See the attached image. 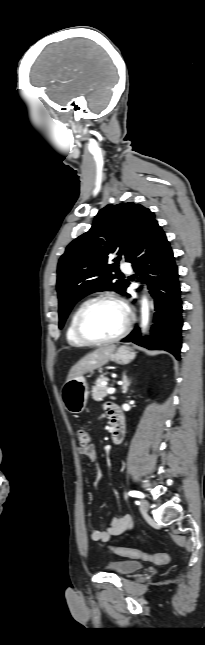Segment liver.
<instances>
[{
	"instance_id": "obj_1",
	"label": "liver",
	"mask_w": 205,
	"mask_h": 645,
	"mask_svg": "<svg viewBox=\"0 0 205 645\" xmlns=\"http://www.w3.org/2000/svg\"><path fill=\"white\" fill-rule=\"evenodd\" d=\"M115 349V345L102 346L87 354L70 369L67 380L101 368L108 363Z\"/></svg>"
}]
</instances>
